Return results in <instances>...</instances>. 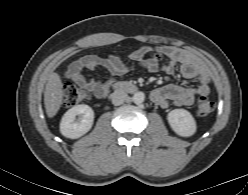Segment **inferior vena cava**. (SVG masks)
Segmentation results:
<instances>
[{
  "mask_svg": "<svg viewBox=\"0 0 248 195\" xmlns=\"http://www.w3.org/2000/svg\"><path fill=\"white\" fill-rule=\"evenodd\" d=\"M127 98V93L122 89L115 90L111 95V100L114 105H121Z\"/></svg>",
  "mask_w": 248,
  "mask_h": 195,
  "instance_id": "inferior-vena-cava-1",
  "label": "inferior vena cava"
}]
</instances>
